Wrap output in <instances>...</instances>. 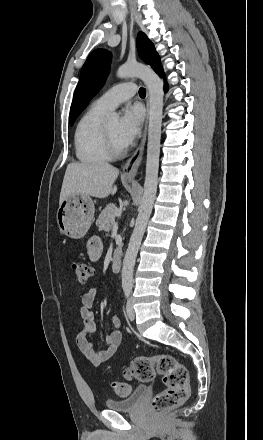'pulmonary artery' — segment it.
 <instances>
[{
  "label": "pulmonary artery",
  "instance_id": "e3ab8cb5",
  "mask_svg": "<svg viewBox=\"0 0 263 440\" xmlns=\"http://www.w3.org/2000/svg\"><path fill=\"white\" fill-rule=\"evenodd\" d=\"M136 91V84L132 82L121 83L102 94L95 103L107 110H112L132 98Z\"/></svg>",
  "mask_w": 263,
  "mask_h": 440
}]
</instances>
